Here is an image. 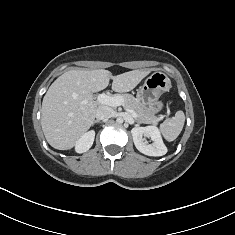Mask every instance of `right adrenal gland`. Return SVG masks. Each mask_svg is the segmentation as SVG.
<instances>
[{"mask_svg":"<svg viewBox=\"0 0 235 235\" xmlns=\"http://www.w3.org/2000/svg\"><path fill=\"white\" fill-rule=\"evenodd\" d=\"M98 122H99V120H95L94 123H93V125H94L95 123H98Z\"/></svg>","mask_w":235,"mask_h":235,"instance_id":"1","label":"right adrenal gland"}]
</instances>
